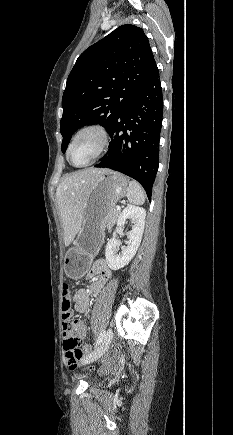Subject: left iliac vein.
I'll use <instances>...</instances> for the list:
<instances>
[{"label": "left iliac vein", "instance_id": "1", "mask_svg": "<svg viewBox=\"0 0 233 435\" xmlns=\"http://www.w3.org/2000/svg\"><path fill=\"white\" fill-rule=\"evenodd\" d=\"M112 338H113L112 330L108 329L102 342L99 344V346L92 353L87 355L82 360V364L91 363V362L99 359L101 356H103V354L107 351L108 347L110 346Z\"/></svg>", "mask_w": 233, "mask_h": 435}]
</instances>
